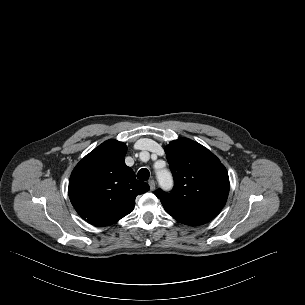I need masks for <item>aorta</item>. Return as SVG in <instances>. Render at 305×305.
I'll list each match as a JSON object with an SVG mask.
<instances>
[{
  "instance_id": "1",
  "label": "aorta",
  "mask_w": 305,
  "mask_h": 305,
  "mask_svg": "<svg viewBox=\"0 0 305 305\" xmlns=\"http://www.w3.org/2000/svg\"><path fill=\"white\" fill-rule=\"evenodd\" d=\"M157 178L161 185L168 186L171 184V175L167 170H160L157 172Z\"/></svg>"
}]
</instances>
